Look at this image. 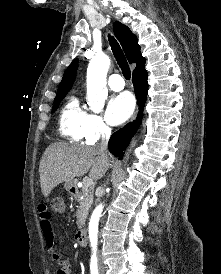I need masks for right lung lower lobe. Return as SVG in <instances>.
<instances>
[{"label": "right lung lower lobe", "instance_id": "right-lung-lower-lobe-1", "mask_svg": "<svg viewBox=\"0 0 221 274\" xmlns=\"http://www.w3.org/2000/svg\"><path fill=\"white\" fill-rule=\"evenodd\" d=\"M132 78L134 84V92L139 104V114L134 122L127 124L125 127L112 134L108 144L110 152L113 155L119 157L120 160L123 157V151L129 145L131 138L133 137L141 123V118L143 116L142 111L147 97V71L144 69L142 71L136 72L133 74Z\"/></svg>", "mask_w": 221, "mask_h": 274}]
</instances>
